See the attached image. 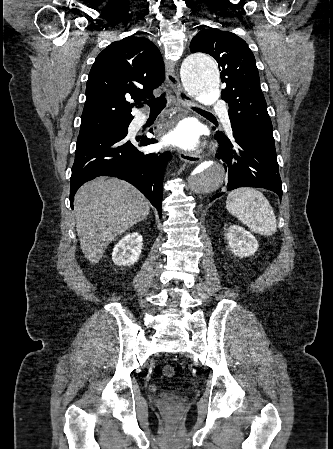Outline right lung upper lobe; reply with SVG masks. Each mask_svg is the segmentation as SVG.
Returning <instances> with one entry per match:
<instances>
[{
	"mask_svg": "<svg viewBox=\"0 0 333 449\" xmlns=\"http://www.w3.org/2000/svg\"><path fill=\"white\" fill-rule=\"evenodd\" d=\"M163 79L161 53L149 39L133 35L111 43L90 70L80 129L130 123L131 107L137 103L127 99L153 98Z\"/></svg>",
	"mask_w": 333,
	"mask_h": 449,
	"instance_id": "1",
	"label": "right lung upper lobe"
}]
</instances>
